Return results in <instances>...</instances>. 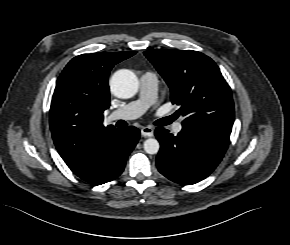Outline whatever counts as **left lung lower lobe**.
Returning <instances> with one entry per match:
<instances>
[{
  "instance_id": "0a47b994",
  "label": "left lung lower lobe",
  "mask_w": 290,
  "mask_h": 245,
  "mask_svg": "<svg viewBox=\"0 0 290 245\" xmlns=\"http://www.w3.org/2000/svg\"><path fill=\"white\" fill-rule=\"evenodd\" d=\"M160 151L156 165L160 173L176 183L195 184L212 173L222 160L229 141L195 128H182L177 136L158 127Z\"/></svg>"
}]
</instances>
